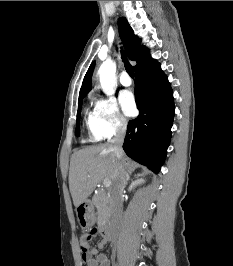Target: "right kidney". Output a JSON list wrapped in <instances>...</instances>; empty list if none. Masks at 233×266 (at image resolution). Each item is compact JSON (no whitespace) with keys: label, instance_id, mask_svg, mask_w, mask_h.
Instances as JSON below:
<instances>
[{"label":"right kidney","instance_id":"ca27d5eb","mask_svg":"<svg viewBox=\"0 0 233 266\" xmlns=\"http://www.w3.org/2000/svg\"><path fill=\"white\" fill-rule=\"evenodd\" d=\"M142 182H143L142 179L134 181V182L130 185L129 190H132L133 187H135V186L138 185V184H141Z\"/></svg>","mask_w":233,"mask_h":266}]
</instances>
